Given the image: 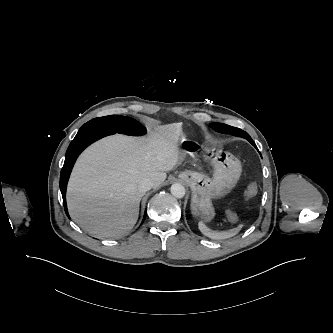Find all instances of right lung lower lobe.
Listing matches in <instances>:
<instances>
[{
	"label": "right lung lower lobe",
	"instance_id": "obj_1",
	"mask_svg": "<svg viewBox=\"0 0 333 333\" xmlns=\"http://www.w3.org/2000/svg\"><path fill=\"white\" fill-rule=\"evenodd\" d=\"M114 131L111 130H102V129H93V130H87V131H82L78 132L75 138L72 140L70 143L67 152H66V157H65V162L63 165V168L61 170V175H60V190L62 193L63 197V202H64V208L66 211V214L68 215L67 212V206H66V200H65V193H66V186H67V181L70 175V172L72 170V167L78 157V155L84 150L88 145L93 143L94 141L107 136L114 134ZM69 217V215H68ZM145 219V217H144Z\"/></svg>",
	"mask_w": 333,
	"mask_h": 333
}]
</instances>
